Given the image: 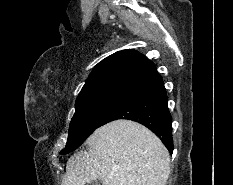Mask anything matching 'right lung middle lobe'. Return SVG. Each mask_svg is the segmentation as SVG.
Instances as JSON below:
<instances>
[{"mask_svg":"<svg viewBox=\"0 0 233 185\" xmlns=\"http://www.w3.org/2000/svg\"><path fill=\"white\" fill-rule=\"evenodd\" d=\"M129 91L109 88L79 95L75 105L76 111L69 127L68 141L61 154H68L78 148Z\"/></svg>","mask_w":233,"mask_h":185,"instance_id":"obj_1","label":"right lung middle lobe"}]
</instances>
